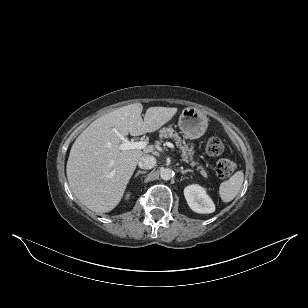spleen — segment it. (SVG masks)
Listing matches in <instances>:
<instances>
[{"mask_svg": "<svg viewBox=\"0 0 308 308\" xmlns=\"http://www.w3.org/2000/svg\"><path fill=\"white\" fill-rule=\"evenodd\" d=\"M244 181V173L237 171L229 180L220 184L219 195L223 202L232 201L239 193Z\"/></svg>", "mask_w": 308, "mask_h": 308, "instance_id": "spleen-1", "label": "spleen"}]
</instances>
